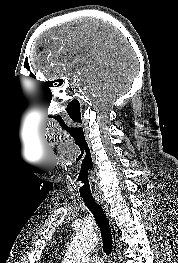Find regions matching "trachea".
I'll use <instances>...</instances> for the list:
<instances>
[{
  "label": "trachea",
  "mask_w": 178,
  "mask_h": 263,
  "mask_svg": "<svg viewBox=\"0 0 178 263\" xmlns=\"http://www.w3.org/2000/svg\"><path fill=\"white\" fill-rule=\"evenodd\" d=\"M91 167L81 166L77 182L78 190L81 198L83 199L85 205L94 215L95 221L100 229L103 250L107 255H111L113 250V240L110 231L109 222L104 210L99 206L92 195V184L90 182L89 174Z\"/></svg>",
  "instance_id": "obj_1"
}]
</instances>
